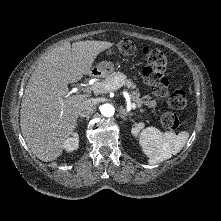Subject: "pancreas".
I'll return each instance as SVG.
<instances>
[{"label":"pancreas","mask_w":221,"mask_h":221,"mask_svg":"<svg viewBox=\"0 0 221 221\" xmlns=\"http://www.w3.org/2000/svg\"><path fill=\"white\" fill-rule=\"evenodd\" d=\"M115 81L119 83L121 86H125L127 89L131 90V100L135 103V105L138 108L142 107L143 101L140 98L139 91L137 89V86L130 80L127 79L126 76L121 72H114L108 77H106L105 80L101 82H97L94 86H99L100 88H104L108 84H113ZM144 110L141 109V112Z\"/></svg>","instance_id":"obj_1"}]
</instances>
